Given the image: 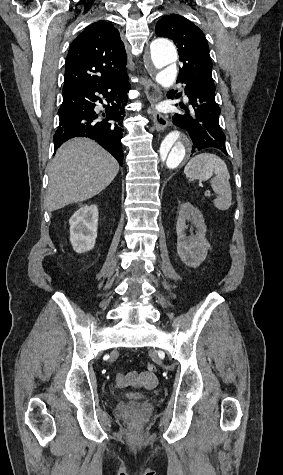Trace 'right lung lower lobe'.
<instances>
[{
    "label": "right lung lower lobe",
    "instance_id": "98d812e1",
    "mask_svg": "<svg viewBox=\"0 0 283 475\" xmlns=\"http://www.w3.org/2000/svg\"><path fill=\"white\" fill-rule=\"evenodd\" d=\"M129 86L125 75L104 83L81 84L63 90V102L58 110L60 122L53 139L55 150L71 138L88 137L97 141L122 165L120 140L124 132L122 120ZM106 102L108 105H103V113L95 110L98 103Z\"/></svg>",
    "mask_w": 283,
    "mask_h": 475
}]
</instances>
